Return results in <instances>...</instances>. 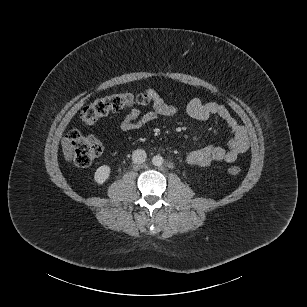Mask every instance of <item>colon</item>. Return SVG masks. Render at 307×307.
I'll use <instances>...</instances> for the list:
<instances>
[{
  "label": "colon",
  "instance_id": "obj_1",
  "mask_svg": "<svg viewBox=\"0 0 307 307\" xmlns=\"http://www.w3.org/2000/svg\"><path fill=\"white\" fill-rule=\"evenodd\" d=\"M150 100L146 93H114L99 98L86 106L81 112V121L85 125H92L109 112L120 111L126 107L137 105L144 106ZM67 139L74 150V161L81 167L90 165L102 154V143L93 135L84 134L78 129H73L68 133ZM227 172L232 176H237L241 173V169L238 166H231L227 169Z\"/></svg>",
  "mask_w": 307,
  "mask_h": 307
}]
</instances>
